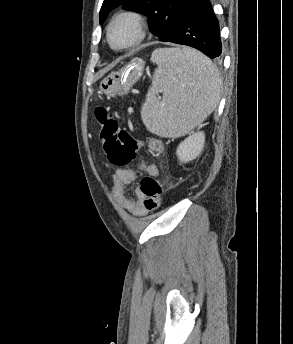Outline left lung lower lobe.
Segmentation results:
<instances>
[{
  "instance_id": "obj_1",
  "label": "left lung lower lobe",
  "mask_w": 293,
  "mask_h": 344,
  "mask_svg": "<svg viewBox=\"0 0 293 344\" xmlns=\"http://www.w3.org/2000/svg\"><path fill=\"white\" fill-rule=\"evenodd\" d=\"M160 41L187 45L211 59L222 54L219 22L209 0H190L169 33Z\"/></svg>"
}]
</instances>
